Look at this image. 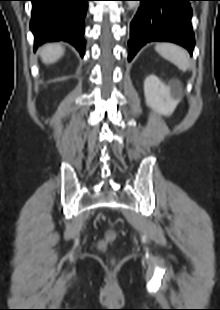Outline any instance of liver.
I'll list each match as a JSON object with an SVG mask.
<instances>
[{
    "instance_id": "liver-1",
    "label": "liver",
    "mask_w": 220,
    "mask_h": 310,
    "mask_svg": "<svg viewBox=\"0 0 220 310\" xmlns=\"http://www.w3.org/2000/svg\"><path fill=\"white\" fill-rule=\"evenodd\" d=\"M64 54V49L59 44H47L40 49V56L45 64L54 63Z\"/></svg>"
}]
</instances>
